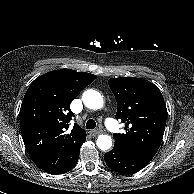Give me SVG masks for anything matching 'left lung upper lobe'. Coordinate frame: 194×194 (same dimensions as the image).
<instances>
[{
	"label": "left lung upper lobe",
	"mask_w": 194,
	"mask_h": 194,
	"mask_svg": "<svg viewBox=\"0 0 194 194\" xmlns=\"http://www.w3.org/2000/svg\"><path fill=\"white\" fill-rule=\"evenodd\" d=\"M108 84L117 100L116 118L125 123V134H114L115 147L147 161L163 138L167 109L156 85L136 77L111 78Z\"/></svg>",
	"instance_id": "5c2ea615"
}]
</instances>
